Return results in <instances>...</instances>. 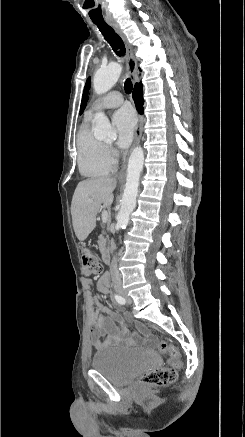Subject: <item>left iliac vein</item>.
<instances>
[{
    "instance_id": "left-iliac-vein-1",
    "label": "left iliac vein",
    "mask_w": 245,
    "mask_h": 437,
    "mask_svg": "<svg viewBox=\"0 0 245 437\" xmlns=\"http://www.w3.org/2000/svg\"><path fill=\"white\" fill-rule=\"evenodd\" d=\"M123 297L125 298L128 305L132 303V299L124 292H122Z\"/></svg>"
}]
</instances>
